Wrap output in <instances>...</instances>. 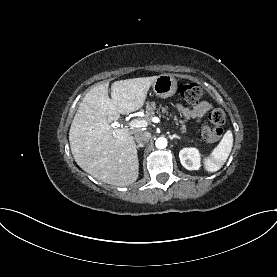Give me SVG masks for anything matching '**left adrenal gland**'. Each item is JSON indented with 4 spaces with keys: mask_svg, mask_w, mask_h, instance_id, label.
I'll list each match as a JSON object with an SVG mask.
<instances>
[{
    "mask_svg": "<svg viewBox=\"0 0 277 277\" xmlns=\"http://www.w3.org/2000/svg\"><path fill=\"white\" fill-rule=\"evenodd\" d=\"M169 138L171 139V140H173V139H181L178 135H176V134H173V135H169Z\"/></svg>",
    "mask_w": 277,
    "mask_h": 277,
    "instance_id": "1",
    "label": "left adrenal gland"
}]
</instances>
